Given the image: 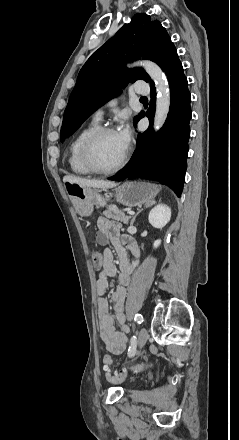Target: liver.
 Here are the masks:
<instances>
[{
  "label": "liver",
  "mask_w": 239,
  "mask_h": 440,
  "mask_svg": "<svg viewBox=\"0 0 239 440\" xmlns=\"http://www.w3.org/2000/svg\"><path fill=\"white\" fill-rule=\"evenodd\" d=\"M63 182L78 184L80 188H101V190H108V188H116L117 186L114 182H106V180H86V178H77V176H64Z\"/></svg>",
  "instance_id": "6515ba94"
}]
</instances>
